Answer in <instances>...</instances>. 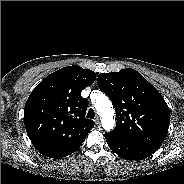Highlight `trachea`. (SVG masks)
Returning <instances> with one entry per match:
<instances>
[{
    "label": "trachea",
    "mask_w": 184,
    "mask_h": 184,
    "mask_svg": "<svg viewBox=\"0 0 184 184\" xmlns=\"http://www.w3.org/2000/svg\"><path fill=\"white\" fill-rule=\"evenodd\" d=\"M86 117L89 118V119H94L95 112H94V110L92 108L88 110Z\"/></svg>",
    "instance_id": "obj_1"
}]
</instances>
